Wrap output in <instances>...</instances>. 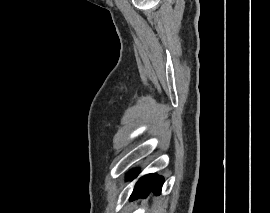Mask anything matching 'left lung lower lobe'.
Returning a JSON list of instances; mask_svg holds the SVG:
<instances>
[{
    "label": "left lung lower lobe",
    "instance_id": "1",
    "mask_svg": "<svg viewBox=\"0 0 270 213\" xmlns=\"http://www.w3.org/2000/svg\"><path fill=\"white\" fill-rule=\"evenodd\" d=\"M133 173H137V171H132ZM130 179V177H128ZM163 185V178L157 176L156 174H149L142 177L138 183L136 184L134 191L131 195V200L135 198H145L150 191H154L155 193H159L161 191V187Z\"/></svg>",
    "mask_w": 270,
    "mask_h": 213
}]
</instances>
